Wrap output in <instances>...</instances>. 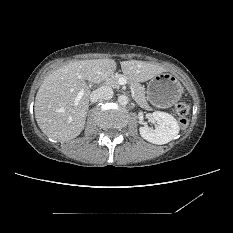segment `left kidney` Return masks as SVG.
Listing matches in <instances>:
<instances>
[{"mask_svg": "<svg viewBox=\"0 0 233 233\" xmlns=\"http://www.w3.org/2000/svg\"><path fill=\"white\" fill-rule=\"evenodd\" d=\"M154 121L157 123L155 129L148 126L140 127L139 132L142 138L153 144H166L174 139L179 133L177 120L170 114L161 111L152 113Z\"/></svg>", "mask_w": 233, "mask_h": 233, "instance_id": "obj_1", "label": "left kidney"}]
</instances>
